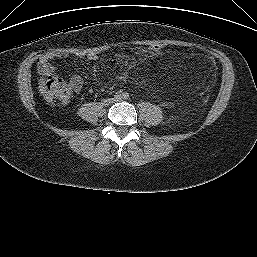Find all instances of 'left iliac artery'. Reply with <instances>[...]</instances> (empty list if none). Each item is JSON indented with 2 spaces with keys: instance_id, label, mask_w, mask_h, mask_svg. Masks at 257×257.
Masks as SVG:
<instances>
[{
  "instance_id": "44dca946",
  "label": "left iliac artery",
  "mask_w": 257,
  "mask_h": 257,
  "mask_svg": "<svg viewBox=\"0 0 257 257\" xmlns=\"http://www.w3.org/2000/svg\"><path fill=\"white\" fill-rule=\"evenodd\" d=\"M122 97H123L124 99H128V98H129V94H128L127 92H125V93H123Z\"/></svg>"
}]
</instances>
